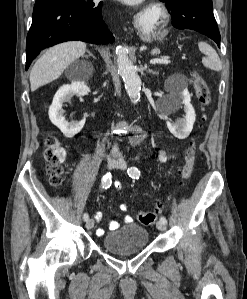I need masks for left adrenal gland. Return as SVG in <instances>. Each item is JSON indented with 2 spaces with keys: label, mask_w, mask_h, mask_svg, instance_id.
I'll return each mask as SVG.
<instances>
[{
  "label": "left adrenal gland",
  "mask_w": 247,
  "mask_h": 299,
  "mask_svg": "<svg viewBox=\"0 0 247 299\" xmlns=\"http://www.w3.org/2000/svg\"><path fill=\"white\" fill-rule=\"evenodd\" d=\"M145 70H146L148 73H151V74H153V75H158V74H159L157 71H154V70H152V69H148V68H147V65H145Z\"/></svg>",
  "instance_id": "left-adrenal-gland-1"
}]
</instances>
